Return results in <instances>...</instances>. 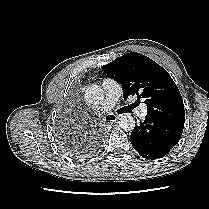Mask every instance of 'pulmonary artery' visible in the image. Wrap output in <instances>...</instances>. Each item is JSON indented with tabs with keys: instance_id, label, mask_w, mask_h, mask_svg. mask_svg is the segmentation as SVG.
Masks as SVG:
<instances>
[{
	"instance_id": "pulmonary-artery-1",
	"label": "pulmonary artery",
	"mask_w": 209,
	"mask_h": 209,
	"mask_svg": "<svg viewBox=\"0 0 209 209\" xmlns=\"http://www.w3.org/2000/svg\"><path fill=\"white\" fill-rule=\"evenodd\" d=\"M102 87L105 92V99L100 108V111L104 113V112L111 110L115 106L116 102L121 96L122 90H121V86L119 85V83L111 78L104 79L102 81ZM138 115L141 118L147 115V109L145 105H142L139 107Z\"/></svg>"
}]
</instances>
